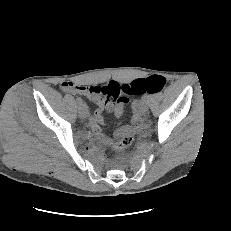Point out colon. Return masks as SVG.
<instances>
[{
	"label": "colon",
	"mask_w": 231,
	"mask_h": 231,
	"mask_svg": "<svg viewBox=\"0 0 231 231\" xmlns=\"http://www.w3.org/2000/svg\"><path fill=\"white\" fill-rule=\"evenodd\" d=\"M166 84V79L160 75H152L147 78L135 79L127 84L110 83L106 87L107 96L113 100L121 97L129 98L143 93L156 94L160 93ZM134 136L131 130L123 133L119 139L112 144L114 151L124 150L132 145Z\"/></svg>",
	"instance_id": "colon-1"
}]
</instances>
